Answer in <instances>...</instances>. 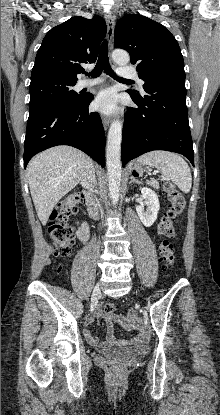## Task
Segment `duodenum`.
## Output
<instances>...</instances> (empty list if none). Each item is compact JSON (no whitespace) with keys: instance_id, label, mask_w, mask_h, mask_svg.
<instances>
[{"instance_id":"obj_1","label":"duodenum","mask_w":220,"mask_h":415,"mask_svg":"<svg viewBox=\"0 0 220 415\" xmlns=\"http://www.w3.org/2000/svg\"><path fill=\"white\" fill-rule=\"evenodd\" d=\"M86 204L89 216L93 219H96L99 216V208L95 202L92 193L89 190H85Z\"/></svg>"}]
</instances>
